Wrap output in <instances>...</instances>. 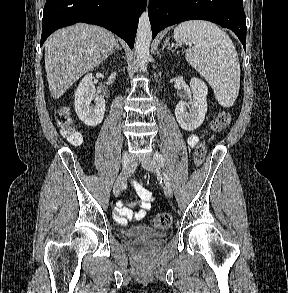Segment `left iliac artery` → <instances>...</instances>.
Listing matches in <instances>:
<instances>
[{"mask_svg": "<svg viewBox=\"0 0 288 293\" xmlns=\"http://www.w3.org/2000/svg\"><path fill=\"white\" fill-rule=\"evenodd\" d=\"M154 159L158 162V164H159L162 168H164V160H163L162 156H161L158 152H156V153L154 154ZM163 175H164V182H165V185H170L168 175H167L165 172L163 173Z\"/></svg>", "mask_w": 288, "mask_h": 293, "instance_id": "obj_1", "label": "left iliac artery"}]
</instances>
